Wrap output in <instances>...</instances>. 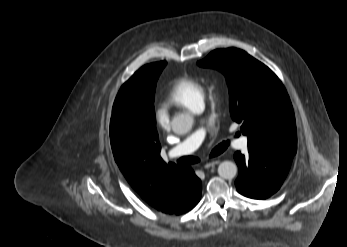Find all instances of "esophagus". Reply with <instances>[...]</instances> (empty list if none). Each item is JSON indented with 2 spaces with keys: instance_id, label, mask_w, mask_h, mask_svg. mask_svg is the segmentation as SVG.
<instances>
[{
  "instance_id": "34e87169",
  "label": "esophagus",
  "mask_w": 347,
  "mask_h": 247,
  "mask_svg": "<svg viewBox=\"0 0 347 247\" xmlns=\"http://www.w3.org/2000/svg\"><path fill=\"white\" fill-rule=\"evenodd\" d=\"M220 163V161L219 160H211V161H208L205 165H204V167L206 168V169H208V168H210V167H212V166H214V165H218Z\"/></svg>"
}]
</instances>
